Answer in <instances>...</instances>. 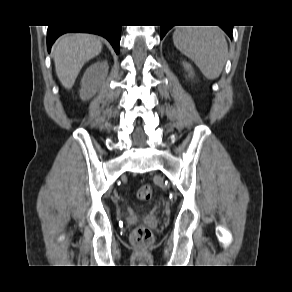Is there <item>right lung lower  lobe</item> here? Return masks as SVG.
<instances>
[{
    "mask_svg": "<svg viewBox=\"0 0 292 292\" xmlns=\"http://www.w3.org/2000/svg\"><path fill=\"white\" fill-rule=\"evenodd\" d=\"M66 32H87L105 37L113 46L115 52L119 53L120 26L109 25H78V26H48L47 47L48 51L54 41Z\"/></svg>",
    "mask_w": 292,
    "mask_h": 292,
    "instance_id": "1",
    "label": "right lung lower lobe"
}]
</instances>
